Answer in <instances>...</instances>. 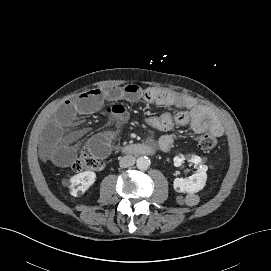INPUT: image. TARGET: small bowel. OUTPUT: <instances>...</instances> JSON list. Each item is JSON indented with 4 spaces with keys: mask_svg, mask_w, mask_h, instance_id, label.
I'll return each mask as SVG.
<instances>
[{
    "mask_svg": "<svg viewBox=\"0 0 271 271\" xmlns=\"http://www.w3.org/2000/svg\"><path fill=\"white\" fill-rule=\"evenodd\" d=\"M140 99L167 108L182 109L175 114L166 111L160 116L146 119L147 124L152 128L166 132L159 139V147L164 152L170 151L173 146L176 135L170 131L175 125H189L193 132L198 134L209 131L214 136H220L223 132L222 125L213 111L198 104L194 98L156 87L143 88L136 84H128L111 90L99 88L88 90L77 98L63 103L45 128L41 147L42 156L58 166H68L76 152L73 144L75 137L65 132L68 126L79 116L94 113L101 108L107 115L124 123L127 119V111L120 102ZM116 135V130L98 133L89 141V147L97 155L105 157L109 154Z\"/></svg>",
    "mask_w": 271,
    "mask_h": 271,
    "instance_id": "1",
    "label": "small bowel"
}]
</instances>
